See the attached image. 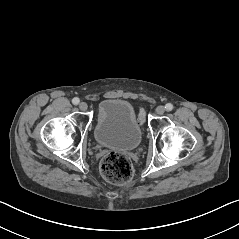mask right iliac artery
Here are the masks:
<instances>
[{
  "mask_svg": "<svg viewBox=\"0 0 239 239\" xmlns=\"http://www.w3.org/2000/svg\"><path fill=\"white\" fill-rule=\"evenodd\" d=\"M79 102H80V100H79V98H77V97H75V98L72 99V103H73L74 105H77Z\"/></svg>",
  "mask_w": 239,
  "mask_h": 239,
  "instance_id": "1",
  "label": "right iliac artery"
}]
</instances>
